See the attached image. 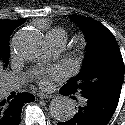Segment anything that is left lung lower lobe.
<instances>
[{
  "instance_id": "0a47b994",
  "label": "left lung lower lobe",
  "mask_w": 125,
  "mask_h": 125,
  "mask_svg": "<svg viewBox=\"0 0 125 125\" xmlns=\"http://www.w3.org/2000/svg\"><path fill=\"white\" fill-rule=\"evenodd\" d=\"M62 95H70L63 87L59 90ZM83 106L73 118L58 125H106L112 118L118 105L119 97L85 99Z\"/></svg>"
}]
</instances>
